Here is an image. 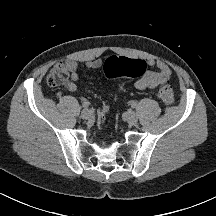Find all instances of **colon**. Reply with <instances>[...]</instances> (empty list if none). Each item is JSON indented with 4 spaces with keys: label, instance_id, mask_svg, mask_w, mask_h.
Here are the masks:
<instances>
[{
    "label": "colon",
    "instance_id": "colon-1",
    "mask_svg": "<svg viewBox=\"0 0 216 216\" xmlns=\"http://www.w3.org/2000/svg\"><path fill=\"white\" fill-rule=\"evenodd\" d=\"M146 65L142 60L125 57H113L105 63V73L109 79L119 76L140 77L144 74ZM68 72L64 63H56L48 75V84L51 87L61 86L67 78ZM158 97L165 105H172L174 93L170 86L162 85L158 90ZM110 112V105L104 102L98 109V122L103 124Z\"/></svg>",
    "mask_w": 216,
    "mask_h": 216
}]
</instances>
